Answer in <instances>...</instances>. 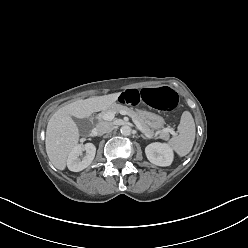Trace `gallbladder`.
<instances>
[{
  "mask_svg": "<svg viewBox=\"0 0 248 248\" xmlns=\"http://www.w3.org/2000/svg\"><path fill=\"white\" fill-rule=\"evenodd\" d=\"M77 126L79 127V129L82 131V132H87L88 129H89V126H90V123L88 120L86 119H74Z\"/></svg>",
  "mask_w": 248,
  "mask_h": 248,
  "instance_id": "bac80fb5",
  "label": "gallbladder"
}]
</instances>
